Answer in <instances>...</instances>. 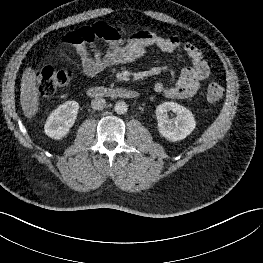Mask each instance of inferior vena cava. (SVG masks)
<instances>
[{
    "label": "inferior vena cava",
    "mask_w": 263,
    "mask_h": 263,
    "mask_svg": "<svg viewBox=\"0 0 263 263\" xmlns=\"http://www.w3.org/2000/svg\"><path fill=\"white\" fill-rule=\"evenodd\" d=\"M91 106L95 110H102L106 106V100L104 98H95L91 102Z\"/></svg>",
    "instance_id": "inferior-vena-cava-1"
}]
</instances>
